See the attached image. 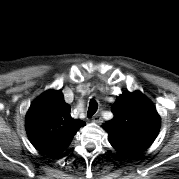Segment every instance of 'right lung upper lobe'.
<instances>
[{
    "label": "right lung upper lobe",
    "instance_id": "1",
    "mask_svg": "<svg viewBox=\"0 0 179 179\" xmlns=\"http://www.w3.org/2000/svg\"><path fill=\"white\" fill-rule=\"evenodd\" d=\"M85 125L70 116L61 90H48L31 104L26 115V131L33 146L48 155L64 151L78 129Z\"/></svg>",
    "mask_w": 179,
    "mask_h": 179
}]
</instances>
